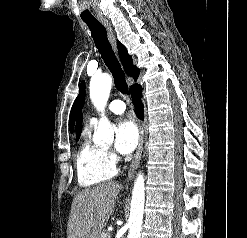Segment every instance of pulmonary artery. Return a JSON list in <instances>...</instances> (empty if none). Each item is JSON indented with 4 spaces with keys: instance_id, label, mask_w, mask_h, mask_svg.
<instances>
[{
    "instance_id": "1",
    "label": "pulmonary artery",
    "mask_w": 247,
    "mask_h": 238,
    "mask_svg": "<svg viewBox=\"0 0 247 238\" xmlns=\"http://www.w3.org/2000/svg\"><path fill=\"white\" fill-rule=\"evenodd\" d=\"M126 109L125 103L122 100L116 99L109 103L107 111L114 114H122ZM99 117L97 115L93 116L89 120V125L93 126L98 122Z\"/></svg>"
}]
</instances>
